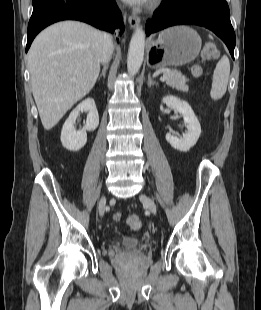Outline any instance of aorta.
I'll list each match as a JSON object with an SVG mask.
<instances>
[{
	"instance_id": "obj_1",
	"label": "aorta",
	"mask_w": 261,
	"mask_h": 310,
	"mask_svg": "<svg viewBox=\"0 0 261 310\" xmlns=\"http://www.w3.org/2000/svg\"><path fill=\"white\" fill-rule=\"evenodd\" d=\"M145 33L142 27H137L132 35L128 56L127 70L132 76L136 75L144 59Z\"/></svg>"
}]
</instances>
